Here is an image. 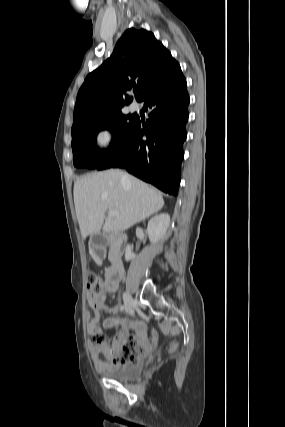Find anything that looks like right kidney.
<instances>
[{"instance_id":"obj_1","label":"right kidney","mask_w":285,"mask_h":427,"mask_svg":"<svg viewBox=\"0 0 285 427\" xmlns=\"http://www.w3.org/2000/svg\"><path fill=\"white\" fill-rule=\"evenodd\" d=\"M169 224L170 216L166 213L156 215L150 219L148 222L147 233L152 244H156L164 239ZM135 257L136 255L132 252L131 247L128 245L125 251V260L130 261Z\"/></svg>"}]
</instances>
